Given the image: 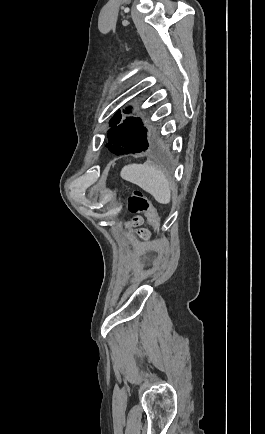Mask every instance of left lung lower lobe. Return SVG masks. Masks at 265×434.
<instances>
[{
	"instance_id": "1",
	"label": "left lung lower lobe",
	"mask_w": 265,
	"mask_h": 434,
	"mask_svg": "<svg viewBox=\"0 0 265 434\" xmlns=\"http://www.w3.org/2000/svg\"><path fill=\"white\" fill-rule=\"evenodd\" d=\"M146 129L136 135L135 137L131 138L129 141L125 143L121 148L112 149L109 148V150L116 154H128V153H141L145 151H164L168 147V142L166 140H155L151 141V143H148L146 137Z\"/></svg>"
}]
</instances>
